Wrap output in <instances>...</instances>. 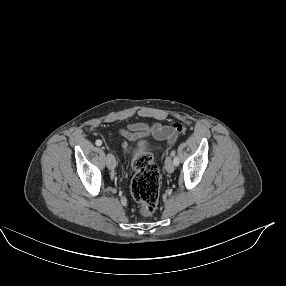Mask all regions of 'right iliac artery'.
Returning a JSON list of instances; mask_svg holds the SVG:
<instances>
[{"label":"right iliac artery","mask_w":286,"mask_h":286,"mask_svg":"<svg viewBox=\"0 0 286 286\" xmlns=\"http://www.w3.org/2000/svg\"><path fill=\"white\" fill-rule=\"evenodd\" d=\"M95 144H96L97 146H101L102 141H101V140H96Z\"/></svg>","instance_id":"right-iliac-artery-1"}]
</instances>
